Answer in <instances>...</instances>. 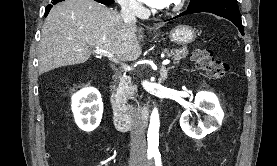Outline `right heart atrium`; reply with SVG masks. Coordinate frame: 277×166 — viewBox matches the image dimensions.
Returning <instances> with one entry per match:
<instances>
[{"instance_id":"1","label":"right heart atrium","mask_w":277,"mask_h":166,"mask_svg":"<svg viewBox=\"0 0 277 166\" xmlns=\"http://www.w3.org/2000/svg\"><path fill=\"white\" fill-rule=\"evenodd\" d=\"M120 8L131 14H141L143 12V7L139 0H116Z\"/></svg>"}]
</instances>
